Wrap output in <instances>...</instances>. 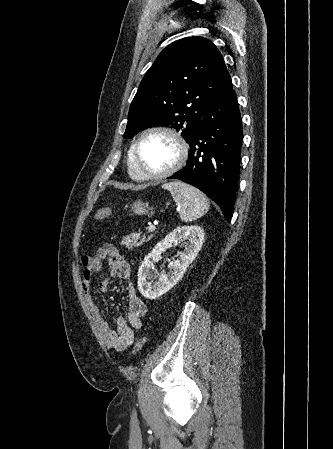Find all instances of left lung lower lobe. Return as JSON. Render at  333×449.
<instances>
[{"instance_id": "1", "label": "left lung lower lobe", "mask_w": 333, "mask_h": 449, "mask_svg": "<svg viewBox=\"0 0 333 449\" xmlns=\"http://www.w3.org/2000/svg\"><path fill=\"white\" fill-rule=\"evenodd\" d=\"M243 140L242 119L231 78L207 106L190 142L186 166L169 179L203 191L230 222Z\"/></svg>"}]
</instances>
